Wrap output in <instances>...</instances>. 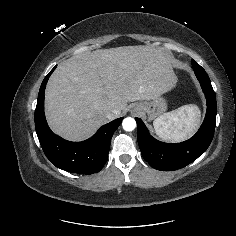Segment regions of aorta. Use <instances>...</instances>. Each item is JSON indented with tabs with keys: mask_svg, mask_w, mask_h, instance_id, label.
<instances>
[{
	"mask_svg": "<svg viewBox=\"0 0 236 236\" xmlns=\"http://www.w3.org/2000/svg\"><path fill=\"white\" fill-rule=\"evenodd\" d=\"M122 127L125 131H133L136 127L135 119L127 117L122 122Z\"/></svg>",
	"mask_w": 236,
	"mask_h": 236,
	"instance_id": "obj_1",
	"label": "aorta"
}]
</instances>
